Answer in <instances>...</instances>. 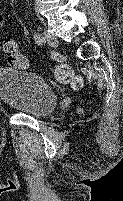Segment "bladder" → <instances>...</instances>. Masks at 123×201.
Instances as JSON below:
<instances>
[{
  "label": "bladder",
  "instance_id": "1",
  "mask_svg": "<svg viewBox=\"0 0 123 201\" xmlns=\"http://www.w3.org/2000/svg\"><path fill=\"white\" fill-rule=\"evenodd\" d=\"M0 99L14 111L43 118L56 107L57 95L47 82L34 73L0 68Z\"/></svg>",
  "mask_w": 123,
  "mask_h": 201
}]
</instances>
